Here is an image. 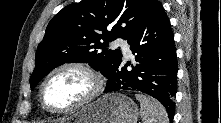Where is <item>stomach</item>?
Masks as SVG:
<instances>
[{
  "instance_id": "obj_1",
  "label": "stomach",
  "mask_w": 221,
  "mask_h": 123,
  "mask_svg": "<svg viewBox=\"0 0 221 123\" xmlns=\"http://www.w3.org/2000/svg\"><path fill=\"white\" fill-rule=\"evenodd\" d=\"M138 106L126 95L110 93L73 112L60 123H136Z\"/></svg>"
}]
</instances>
